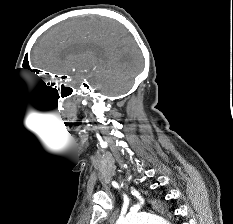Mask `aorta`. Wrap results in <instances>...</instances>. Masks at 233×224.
I'll return each instance as SVG.
<instances>
[{"mask_svg":"<svg viewBox=\"0 0 233 224\" xmlns=\"http://www.w3.org/2000/svg\"><path fill=\"white\" fill-rule=\"evenodd\" d=\"M116 224H169L164 218L150 213L128 214L119 218Z\"/></svg>","mask_w":233,"mask_h":224,"instance_id":"obj_1","label":"aorta"}]
</instances>
